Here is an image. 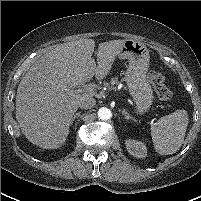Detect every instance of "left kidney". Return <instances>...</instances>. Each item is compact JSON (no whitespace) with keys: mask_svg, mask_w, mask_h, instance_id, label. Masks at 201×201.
I'll return each mask as SVG.
<instances>
[{"mask_svg":"<svg viewBox=\"0 0 201 201\" xmlns=\"http://www.w3.org/2000/svg\"><path fill=\"white\" fill-rule=\"evenodd\" d=\"M125 144L131 155L137 158H145L147 156V148L144 143L129 139L125 141Z\"/></svg>","mask_w":201,"mask_h":201,"instance_id":"5707ae66","label":"left kidney"}]
</instances>
